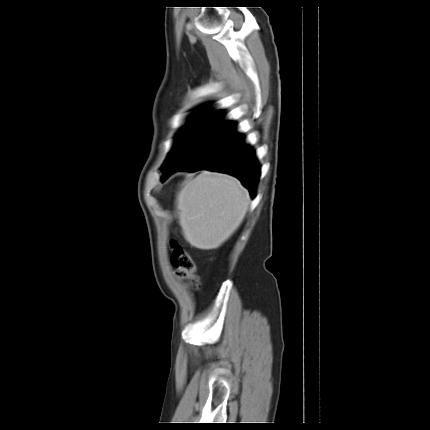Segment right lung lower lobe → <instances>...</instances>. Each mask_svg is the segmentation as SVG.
Listing matches in <instances>:
<instances>
[{
    "instance_id": "right-lung-lower-lobe-1",
    "label": "right lung lower lobe",
    "mask_w": 430,
    "mask_h": 430,
    "mask_svg": "<svg viewBox=\"0 0 430 430\" xmlns=\"http://www.w3.org/2000/svg\"><path fill=\"white\" fill-rule=\"evenodd\" d=\"M244 140L242 134L234 128L177 170L198 171L207 169L230 174L238 178L254 196L260 176V166L255 152ZM167 177H164L163 180Z\"/></svg>"
}]
</instances>
